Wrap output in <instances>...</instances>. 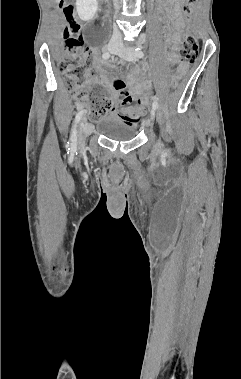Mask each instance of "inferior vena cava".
I'll return each instance as SVG.
<instances>
[{
  "label": "inferior vena cava",
  "instance_id": "602c4592",
  "mask_svg": "<svg viewBox=\"0 0 241 379\" xmlns=\"http://www.w3.org/2000/svg\"><path fill=\"white\" fill-rule=\"evenodd\" d=\"M114 1V6L116 9H119L118 5V0H113ZM114 40L119 41L121 40V33L119 32L118 28L114 26V31H113V37Z\"/></svg>",
  "mask_w": 241,
  "mask_h": 379
}]
</instances>
